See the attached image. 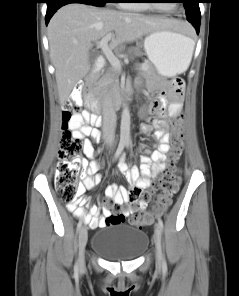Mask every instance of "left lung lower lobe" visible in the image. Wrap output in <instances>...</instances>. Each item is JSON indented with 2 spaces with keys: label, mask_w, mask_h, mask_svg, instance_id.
<instances>
[{
  "label": "left lung lower lobe",
  "mask_w": 239,
  "mask_h": 296,
  "mask_svg": "<svg viewBox=\"0 0 239 296\" xmlns=\"http://www.w3.org/2000/svg\"><path fill=\"white\" fill-rule=\"evenodd\" d=\"M187 20L193 24V26L195 27L197 33H199V29H200V20H195V19H188Z\"/></svg>",
  "instance_id": "1"
}]
</instances>
